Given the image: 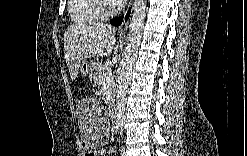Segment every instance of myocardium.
<instances>
[{
    "mask_svg": "<svg viewBox=\"0 0 247 156\" xmlns=\"http://www.w3.org/2000/svg\"><path fill=\"white\" fill-rule=\"evenodd\" d=\"M96 10L100 18L105 19L113 16L117 12V8L110 1H98Z\"/></svg>",
    "mask_w": 247,
    "mask_h": 156,
    "instance_id": "obj_1",
    "label": "myocardium"
}]
</instances>
